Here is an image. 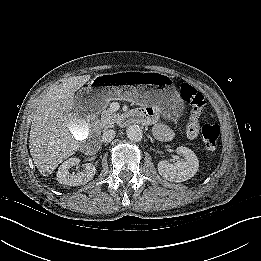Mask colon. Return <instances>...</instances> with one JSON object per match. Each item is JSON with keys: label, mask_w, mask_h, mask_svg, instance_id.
I'll use <instances>...</instances> for the list:
<instances>
[{"label": "colon", "mask_w": 261, "mask_h": 261, "mask_svg": "<svg viewBox=\"0 0 261 261\" xmlns=\"http://www.w3.org/2000/svg\"><path fill=\"white\" fill-rule=\"evenodd\" d=\"M180 96L191 105V115L187 125L188 137L196 138L201 134L206 152L213 153L220 137V127L209 121L201 124L200 120L206 104L204 95L191 85L184 83L180 87Z\"/></svg>", "instance_id": "5ec220e1"}]
</instances>
